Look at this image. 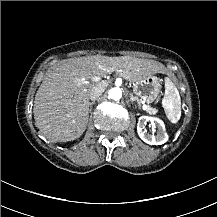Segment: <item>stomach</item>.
I'll list each match as a JSON object with an SVG mask.
<instances>
[{
	"label": "stomach",
	"mask_w": 217,
	"mask_h": 217,
	"mask_svg": "<svg viewBox=\"0 0 217 217\" xmlns=\"http://www.w3.org/2000/svg\"><path fill=\"white\" fill-rule=\"evenodd\" d=\"M162 88L161 81L157 76H148L134 84V93L141 98L154 101Z\"/></svg>",
	"instance_id": "stomach-1"
}]
</instances>
